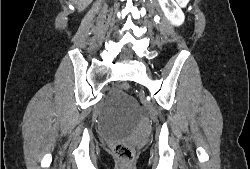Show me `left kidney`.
<instances>
[{"label": "left kidney", "instance_id": "obj_1", "mask_svg": "<svg viewBox=\"0 0 250 169\" xmlns=\"http://www.w3.org/2000/svg\"><path fill=\"white\" fill-rule=\"evenodd\" d=\"M166 18L170 20L171 24L175 26H180L185 20V14L178 6L175 0H158Z\"/></svg>", "mask_w": 250, "mask_h": 169}]
</instances>
